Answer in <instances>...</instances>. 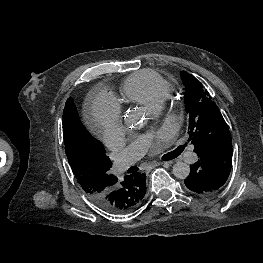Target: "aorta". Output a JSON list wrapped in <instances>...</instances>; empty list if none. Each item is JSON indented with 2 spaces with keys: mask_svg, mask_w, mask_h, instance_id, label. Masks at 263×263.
Returning <instances> with one entry per match:
<instances>
[{
  "mask_svg": "<svg viewBox=\"0 0 263 263\" xmlns=\"http://www.w3.org/2000/svg\"><path fill=\"white\" fill-rule=\"evenodd\" d=\"M140 116L135 111H129L125 115V123L130 128H136L140 125ZM173 175L178 179H185L190 174V166L184 162H177L173 166Z\"/></svg>",
  "mask_w": 263,
  "mask_h": 263,
  "instance_id": "1",
  "label": "aorta"
}]
</instances>
